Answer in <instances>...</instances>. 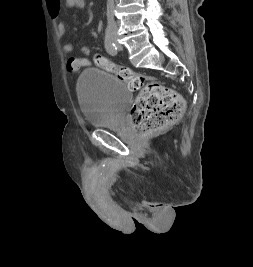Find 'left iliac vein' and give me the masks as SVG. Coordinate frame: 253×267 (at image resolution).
<instances>
[{"instance_id": "1", "label": "left iliac vein", "mask_w": 253, "mask_h": 267, "mask_svg": "<svg viewBox=\"0 0 253 267\" xmlns=\"http://www.w3.org/2000/svg\"><path fill=\"white\" fill-rule=\"evenodd\" d=\"M116 45H117L118 49H121L122 48V45L121 44L116 43Z\"/></svg>"}]
</instances>
